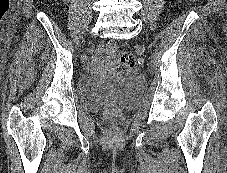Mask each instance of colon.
<instances>
[{
    "label": "colon",
    "mask_w": 227,
    "mask_h": 173,
    "mask_svg": "<svg viewBox=\"0 0 227 173\" xmlns=\"http://www.w3.org/2000/svg\"><path fill=\"white\" fill-rule=\"evenodd\" d=\"M104 48L110 55H115L117 53V46L112 42L107 43ZM118 57L120 62L126 67L135 68L137 66L135 58L129 53H120ZM108 123L110 125H115L116 119L114 117H110L108 119Z\"/></svg>",
    "instance_id": "colon-1"
}]
</instances>
